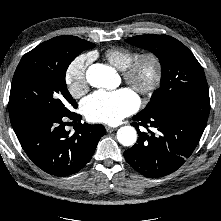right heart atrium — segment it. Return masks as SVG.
<instances>
[{
  "label": "right heart atrium",
  "instance_id": "right-heart-atrium-1",
  "mask_svg": "<svg viewBox=\"0 0 221 221\" xmlns=\"http://www.w3.org/2000/svg\"><path fill=\"white\" fill-rule=\"evenodd\" d=\"M91 59L90 54H81L70 62L65 71V83L73 97H81L88 89L86 70Z\"/></svg>",
  "mask_w": 221,
  "mask_h": 221
}]
</instances>
